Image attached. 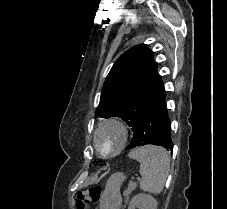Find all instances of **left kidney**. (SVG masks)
Returning a JSON list of instances; mask_svg holds the SVG:
<instances>
[{
    "label": "left kidney",
    "mask_w": 227,
    "mask_h": 209,
    "mask_svg": "<svg viewBox=\"0 0 227 209\" xmlns=\"http://www.w3.org/2000/svg\"><path fill=\"white\" fill-rule=\"evenodd\" d=\"M128 209H157V201L152 195H135L129 203Z\"/></svg>",
    "instance_id": "obj_1"
}]
</instances>
